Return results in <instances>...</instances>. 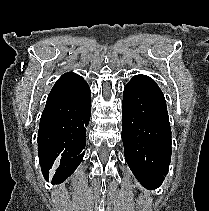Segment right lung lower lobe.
Here are the masks:
<instances>
[{
    "instance_id": "right-lung-lower-lobe-1",
    "label": "right lung lower lobe",
    "mask_w": 209,
    "mask_h": 211,
    "mask_svg": "<svg viewBox=\"0 0 209 211\" xmlns=\"http://www.w3.org/2000/svg\"><path fill=\"white\" fill-rule=\"evenodd\" d=\"M91 115L87 82L76 73L60 77L48 95L38 132V156L44 178L54 167L53 184L66 180L81 163Z\"/></svg>"
}]
</instances>
